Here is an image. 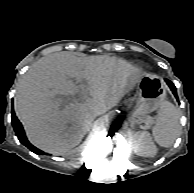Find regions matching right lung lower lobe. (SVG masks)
Segmentation results:
<instances>
[{"mask_svg": "<svg viewBox=\"0 0 194 193\" xmlns=\"http://www.w3.org/2000/svg\"><path fill=\"white\" fill-rule=\"evenodd\" d=\"M12 125L13 128L15 130V133L18 137V139L20 140V142L22 144H24L27 148H29L32 152L36 153V154H45L43 151H41L40 149L34 147L26 138V135L24 133L23 127L20 123V121L17 119V117L15 116L14 110L12 109Z\"/></svg>", "mask_w": 194, "mask_h": 193, "instance_id": "right-lung-lower-lobe-1", "label": "right lung lower lobe"}]
</instances>
